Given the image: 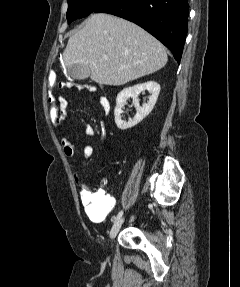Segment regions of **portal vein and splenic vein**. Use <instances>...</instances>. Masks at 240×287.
Here are the masks:
<instances>
[{
    "label": "portal vein and splenic vein",
    "mask_w": 240,
    "mask_h": 287,
    "mask_svg": "<svg viewBox=\"0 0 240 287\" xmlns=\"http://www.w3.org/2000/svg\"><path fill=\"white\" fill-rule=\"evenodd\" d=\"M102 58H103V59H107L108 56H107V55H103Z\"/></svg>",
    "instance_id": "18ae733b"
}]
</instances>
